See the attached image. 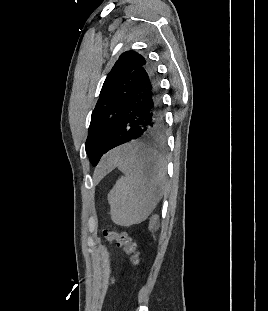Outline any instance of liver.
<instances>
[{
	"mask_svg": "<svg viewBox=\"0 0 268 311\" xmlns=\"http://www.w3.org/2000/svg\"><path fill=\"white\" fill-rule=\"evenodd\" d=\"M114 152L115 151H113L107 155V157L105 158V161L100 165V167H99L100 169L104 168L107 164H110L112 162V160L114 158Z\"/></svg>",
	"mask_w": 268,
	"mask_h": 311,
	"instance_id": "obj_1",
	"label": "liver"
}]
</instances>
